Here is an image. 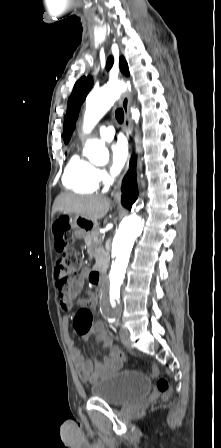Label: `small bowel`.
Segmentation results:
<instances>
[{"label": "small bowel", "mask_w": 221, "mask_h": 448, "mask_svg": "<svg viewBox=\"0 0 221 448\" xmlns=\"http://www.w3.org/2000/svg\"><path fill=\"white\" fill-rule=\"evenodd\" d=\"M54 232V229H53ZM55 235V245L58 250L61 249V241ZM85 274L82 273L78 278L72 281L71 286L66 291H60V305L64 312L72 309V300L77 298L83 289ZM82 309L76 313L73 326L83 339L94 335L98 343L101 344L108 354L103 359L93 356L91 359H85L80 349L76 346L69 333L70 319L65 316L62 321L64 328V337L70 352L71 360L79 377L84 382H94L100 377L120 370L124 362V356L120 349L116 347L113 340L108 335L101 321L93 322V308L96 305L95 295L87 293L86 297L79 300ZM87 322H90L87 328Z\"/></svg>", "instance_id": "obj_1"}]
</instances>
